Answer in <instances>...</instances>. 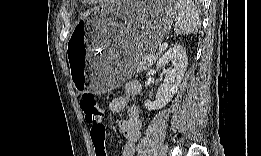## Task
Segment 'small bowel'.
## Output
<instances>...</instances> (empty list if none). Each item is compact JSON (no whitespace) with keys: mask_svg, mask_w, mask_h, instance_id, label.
<instances>
[{"mask_svg":"<svg viewBox=\"0 0 261 156\" xmlns=\"http://www.w3.org/2000/svg\"><path fill=\"white\" fill-rule=\"evenodd\" d=\"M141 92V85L136 81H130L125 85V95L113 98L108 105L111 112H121L127 108L128 117L119 123V129L126 139V143L122 148L121 156H133L136 150V144L141 136V121L139 119V109L135 105H129V99ZM96 152V150H95ZM107 156L106 151L104 155Z\"/></svg>","mask_w":261,"mask_h":156,"instance_id":"c3829d8e","label":"small bowel"}]
</instances>
